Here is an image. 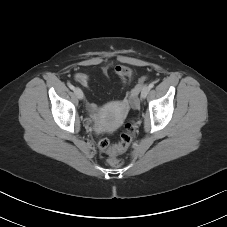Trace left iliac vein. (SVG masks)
<instances>
[{"mask_svg":"<svg viewBox=\"0 0 227 227\" xmlns=\"http://www.w3.org/2000/svg\"><path fill=\"white\" fill-rule=\"evenodd\" d=\"M149 91H150L149 86H144L142 91H141V98H143V99L146 98V96L148 95Z\"/></svg>","mask_w":227,"mask_h":227,"instance_id":"1","label":"left iliac vein"}]
</instances>
